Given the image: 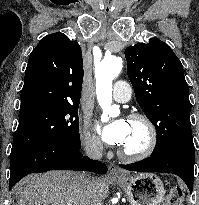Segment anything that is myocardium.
<instances>
[{
	"label": "myocardium",
	"mask_w": 199,
	"mask_h": 205,
	"mask_svg": "<svg viewBox=\"0 0 199 205\" xmlns=\"http://www.w3.org/2000/svg\"><path fill=\"white\" fill-rule=\"evenodd\" d=\"M129 121L139 122L146 129V141L144 146L137 151H128L123 148L118 150V155L128 161H139L148 158L156 149L158 143V132L154 122L144 113H132Z\"/></svg>",
	"instance_id": "obj_1"
}]
</instances>
